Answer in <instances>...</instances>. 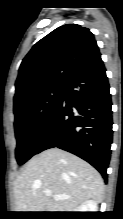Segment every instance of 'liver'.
<instances>
[{"mask_svg":"<svg viewBox=\"0 0 123 219\" xmlns=\"http://www.w3.org/2000/svg\"><path fill=\"white\" fill-rule=\"evenodd\" d=\"M45 190H50L52 196H46ZM103 194L100 173L81 158L58 148L31 158L14 182L16 212H75L89 199L100 203ZM54 195L70 198L55 200Z\"/></svg>","mask_w":123,"mask_h":219,"instance_id":"1","label":"liver"}]
</instances>
